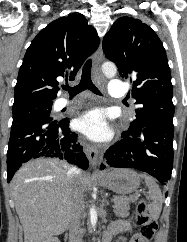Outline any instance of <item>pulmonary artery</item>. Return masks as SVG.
Wrapping results in <instances>:
<instances>
[{
	"instance_id": "e3ab8cb5",
	"label": "pulmonary artery",
	"mask_w": 187,
	"mask_h": 242,
	"mask_svg": "<svg viewBox=\"0 0 187 242\" xmlns=\"http://www.w3.org/2000/svg\"><path fill=\"white\" fill-rule=\"evenodd\" d=\"M125 84L119 80H111L109 83V94L114 98H122L125 95ZM69 102L62 100L61 106H67Z\"/></svg>"
}]
</instances>
